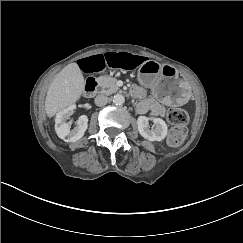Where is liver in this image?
Instances as JSON below:
<instances>
[{"instance_id":"liver-1","label":"liver","mask_w":243,"mask_h":243,"mask_svg":"<svg viewBox=\"0 0 243 243\" xmlns=\"http://www.w3.org/2000/svg\"><path fill=\"white\" fill-rule=\"evenodd\" d=\"M85 88L83 74L76 63L65 66L50 84L45 99L48 117L76 102Z\"/></svg>"}]
</instances>
